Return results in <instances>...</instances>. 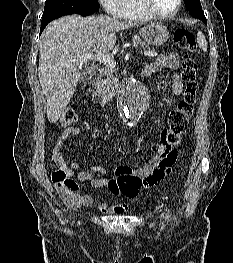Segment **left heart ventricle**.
Segmentation results:
<instances>
[{"label": "left heart ventricle", "mask_w": 233, "mask_h": 263, "mask_svg": "<svg viewBox=\"0 0 233 263\" xmlns=\"http://www.w3.org/2000/svg\"><path fill=\"white\" fill-rule=\"evenodd\" d=\"M156 10L161 13L168 14L175 10L177 0H151Z\"/></svg>", "instance_id": "1"}]
</instances>
